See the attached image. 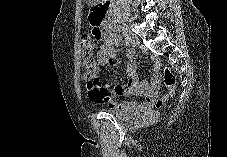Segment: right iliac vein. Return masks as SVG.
I'll return each instance as SVG.
<instances>
[{"label": "right iliac vein", "mask_w": 227, "mask_h": 157, "mask_svg": "<svg viewBox=\"0 0 227 157\" xmlns=\"http://www.w3.org/2000/svg\"><path fill=\"white\" fill-rule=\"evenodd\" d=\"M122 33L124 36H126V40L129 42V45L135 46L139 43L138 38L126 29H122Z\"/></svg>", "instance_id": "63e3f726"}]
</instances>
